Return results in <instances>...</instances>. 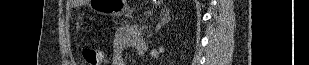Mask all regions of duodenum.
I'll return each instance as SVG.
<instances>
[{
    "label": "duodenum",
    "instance_id": "duodenum-1",
    "mask_svg": "<svg viewBox=\"0 0 309 65\" xmlns=\"http://www.w3.org/2000/svg\"><path fill=\"white\" fill-rule=\"evenodd\" d=\"M138 50H139L140 53H142V48H139Z\"/></svg>",
    "mask_w": 309,
    "mask_h": 65
}]
</instances>
